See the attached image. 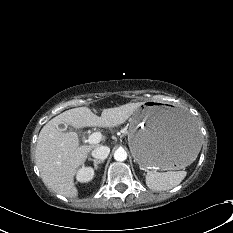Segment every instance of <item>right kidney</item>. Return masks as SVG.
<instances>
[{"instance_id":"right-kidney-1","label":"right kidney","mask_w":233,"mask_h":233,"mask_svg":"<svg viewBox=\"0 0 233 233\" xmlns=\"http://www.w3.org/2000/svg\"><path fill=\"white\" fill-rule=\"evenodd\" d=\"M94 177V170L90 167H82L78 172H77V180L79 182H89L93 179Z\"/></svg>"}]
</instances>
